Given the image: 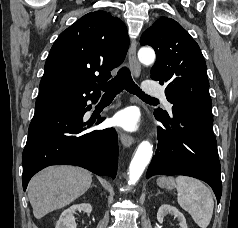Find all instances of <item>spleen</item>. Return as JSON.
Listing matches in <instances>:
<instances>
[{
  "label": "spleen",
  "instance_id": "1",
  "mask_svg": "<svg viewBox=\"0 0 238 228\" xmlns=\"http://www.w3.org/2000/svg\"><path fill=\"white\" fill-rule=\"evenodd\" d=\"M176 184L177 201L181 208L191 215L199 227L207 228L214 208L210 189L200 180L188 176H178Z\"/></svg>",
  "mask_w": 238,
  "mask_h": 228
}]
</instances>
